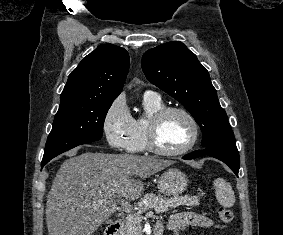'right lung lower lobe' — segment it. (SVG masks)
<instances>
[{"instance_id": "right-lung-lower-lobe-1", "label": "right lung lower lobe", "mask_w": 283, "mask_h": 235, "mask_svg": "<svg viewBox=\"0 0 283 235\" xmlns=\"http://www.w3.org/2000/svg\"><path fill=\"white\" fill-rule=\"evenodd\" d=\"M48 162H42L41 166L43 167L45 164H47Z\"/></svg>"}]
</instances>
